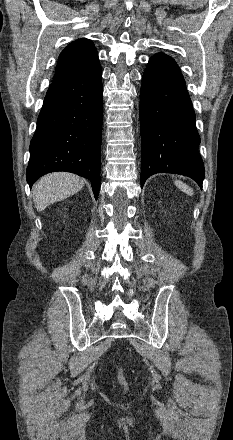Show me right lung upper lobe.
I'll use <instances>...</instances> for the list:
<instances>
[{"mask_svg":"<svg viewBox=\"0 0 233 440\" xmlns=\"http://www.w3.org/2000/svg\"><path fill=\"white\" fill-rule=\"evenodd\" d=\"M100 66L94 44L80 39L69 44L60 54L53 82L72 79Z\"/></svg>","mask_w":233,"mask_h":440,"instance_id":"right-lung-upper-lobe-1","label":"right lung upper lobe"}]
</instances>
